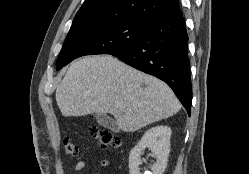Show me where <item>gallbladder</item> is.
I'll use <instances>...</instances> for the list:
<instances>
[{"mask_svg": "<svg viewBox=\"0 0 249 174\" xmlns=\"http://www.w3.org/2000/svg\"><path fill=\"white\" fill-rule=\"evenodd\" d=\"M96 120L100 125L107 127L112 131H119V127L117 126L115 121L106 114H96Z\"/></svg>", "mask_w": 249, "mask_h": 174, "instance_id": "obj_1", "label": "gallbladder"}]
</instances>
